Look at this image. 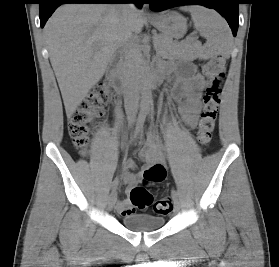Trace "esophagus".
<instances>
[{
	"label": "esophagus",
	"instance_id": "esophagus-1",
	"mask_svg": "<svg viewBox=\"0 0 279 267\" xmlns=\"http://www.w3.org/2000/svg\"><path fill=\"white\" fill-rule=\"evenodd\" d=\"M143 13L146 15V16H152L153 14L151 13L150 9H149V6L147 4H144L143 5Z\"/></svg>",
	"mask_w": 279,
	"mask_h": 267
}]
</instances>
